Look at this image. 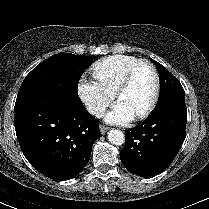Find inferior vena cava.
<instances>
[{
    "instance_id": "obj_1",
    "label": "inferior vena cava",
    "mask_w": 209,
    "mask_h": 209,
    "mask_svg": "<svg viewBox=\"0 0 209 209\" xmlns=\"http://www.w3.org/2000/svg\"><path fill=\"white\" fill-rule=\"evenodd\" d=\"M86 109L91 115L98 118L102 117L105 113V107L95 103H88Z\"/></svg>"
}]
</instances>
